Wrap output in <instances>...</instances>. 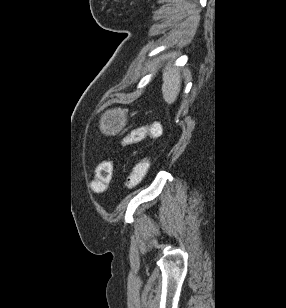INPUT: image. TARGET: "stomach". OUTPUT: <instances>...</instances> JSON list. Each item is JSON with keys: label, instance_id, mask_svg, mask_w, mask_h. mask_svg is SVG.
I'll use <instances>...</instances> for the list:
<instances>
[{"label": "stomach", "instance_id": "0dacf381", "mask_svg": "<svg viewBox=\"0 0 286 308\" xmlns=\"http://www.w3.org/2000/svg\"><path fill=\"white\" fill-rule=\"evenodd\" d=\"M104 118L107 125H99V132H121L120 119L115 118L114 112H105ZM106 144H119V137H106Z\"/></svg>", "mask_w": 286, "mask_h": 308}]
</instances>
